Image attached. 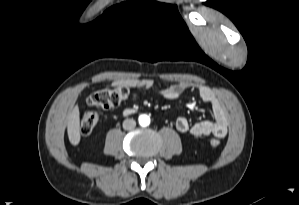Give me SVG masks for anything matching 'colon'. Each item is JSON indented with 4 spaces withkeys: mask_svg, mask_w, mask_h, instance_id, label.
Listing matches in <instances>:
<instances>
[{
    "mask_svg": "<svg viewBox=\"0 0 299 205\" xmlns=\"http://www.w3.org/2000/svg\"><path fill=\"white\" fill-rule=\"evenodd\" d=\"M129 85L120 83L113 87L102 88L92 93L87 99L88 109L83 113L80 121V131L83 135H89L98 122V114L94 108H112L118 106L129 96ZM210 144L213 147L220 145L218 138H212Z\"/></svg>",
    "mask_w": 299,
    "mask_h": 205,
    "instance_id": "5ec220e1",
    "label": "colon"
}]
</instances>
